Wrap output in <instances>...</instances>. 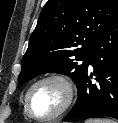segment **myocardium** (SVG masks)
Instances as JSON below:
<instances>
[{"mask_svg":"<svg viewBox=\"0 0 118 123\" xmlns=\"http://www.w3.org/2000/svg\"><path fill=\"white\" fill-rule=\"evenodd\" d=\"M51 81L57 82L58 84H60L63 87V89L65 91V100H64L62 106L60 107V109L56 113H54L50 116H47V117L36 116L35 114H33V112L31 111V107H30L31 93L37 86H39L45 82H51ZM75 92H76V90H75L73 81L65 74H62V73L47 74V75L39 78L38 80H36L28 88V90L25 94V98H24L25 112L30 118H32L36 121H42V122L52 121V120L57 119L60 116H62L70 108V106L72 105L74 98H75Z\"/></svg>","mask_w":118,"mask_h":123,"instance_id":"myocardium-1","label":"myocardium"}]
</instances>
